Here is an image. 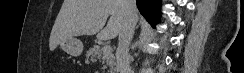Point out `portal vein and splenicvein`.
Wrapping results in <instances>:
<instances>
[{"instance_id":"obj_1","label":"portal vein and splenic vein","mask_w":244,"mask_h":73,"mask_svg":"<svg viewBox=\"0 0 244 73\" xmlns=\"http://www.w3.org/2000/svg\"><path fill=\"white\" fill-rule=\"evenodd\" d=\"M111 50H112L111 47L108 46V45H106V46L103 47V53L104 54L111 52Z\"/></svg>"}]
</instances>
